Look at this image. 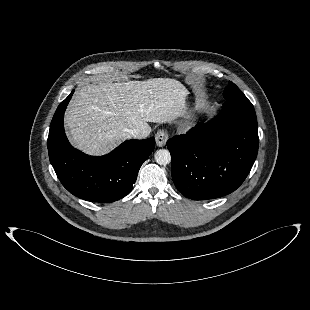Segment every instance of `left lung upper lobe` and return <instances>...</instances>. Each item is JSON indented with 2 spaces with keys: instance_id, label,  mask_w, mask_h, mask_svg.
<instances>
[{
  "instance_id": "left-lung-upper-lobe-1",
  "label": "left lung upper lobe",
  "mask_w": 310,
  "mask_h": 310,
  "mask_svg": "<svg viewBox=\"0 0 310 310\" xmlns=\"http://www.w3.org/2000/svg\"><path fill=\"white\" fill-rule=\"evenodd\" d=\"M223 95L226 100H238L246 97L232 82H229V85L226 87Z\"/></svg>"
}]
</instances>
